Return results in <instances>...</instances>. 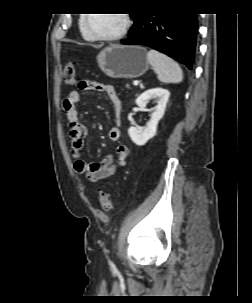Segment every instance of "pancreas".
<instances>
[{
  "instance_id": "cf45deb5",
  "label": "pancreas",
  "mask_w": 252,
  "mask_h": 303,
  "mask_svg": "<svg viewBox=\"0 0 252 303\" xmlns=\"http://www.w3.org/2000/svg\"><path fill=\"white\" fill-rule=\"evenodd\" d=\"M125 86H126V88H128V89L130 88L128 84H126Z\"/></svg>"
}]
</instances>
